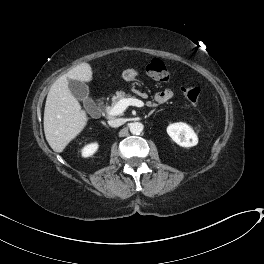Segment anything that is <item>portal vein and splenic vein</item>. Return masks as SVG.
I'll return each mask as SVG.
<instances>
[{
	"label": "portal vein and splenic vein",
	"instance_id": "portal-vein-and-splenic-vein-1",
	"mask_svg": "<svg viewBox=\"0 0 264 264\" xmlns=\"http://www.w3.org/2000/svg\"><path fill=\"white\" fill-rule=\"evenodd\" d=\"M128 106L142 107L144 103L136 98H126L118 101L113 107L107 110L109 116H117L122 114Z\"/></svg>",
	"mask_w": 264,
	"mask_h": 264
}]
</instances>
